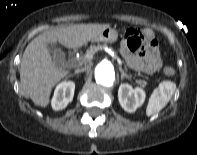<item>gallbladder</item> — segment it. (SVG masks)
Wrapping results in <instances>:
<instances>
[{"mask_svg":"<svg viewBox=\"0 0 197 155\" xmlns=\"http://www.w3.org/2000/svg\"><path fill=\"white\" fill-rule=\"evenodd\" d=\"M47 47L53 56V62L57 67H61L65 63V53L56 45L49 43Z\"/></svg>","mask_w":197,"mask_h":155,"instance_id":"bac80fb5","label":"gallbladder"}]
</instances>
